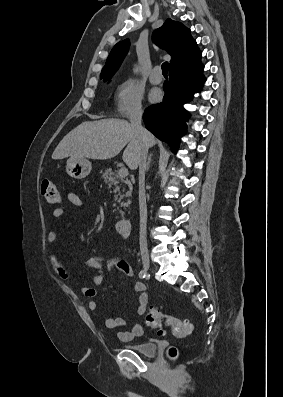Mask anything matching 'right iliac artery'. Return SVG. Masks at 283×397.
I'll list each match as a JSON object with an SVG mask.
<instances>
[{"instance_id": "82829eb1", "label": "right iliac artery", "mask_w": 283, "mask_h": 397, "mask_svg": "<svg viewBox=\"0 0 283 397\" xmlns=\"http://www.w3.org/2000/svg\"><path fill=\"white\" fill-rule=\"evenodd\" d=\"M145 276H146V271L142 269L139 273V278L143 279L145 278Z\"/></svg>"}]
</instances>
